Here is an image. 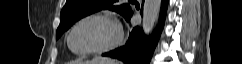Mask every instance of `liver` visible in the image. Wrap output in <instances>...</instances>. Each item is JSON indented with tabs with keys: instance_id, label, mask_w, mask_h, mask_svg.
Listing matches in <instances>:
<instances>
[{
	"instance_id": "liver-1",
	"label": "liver",
	"mask_w": 242,
	"mask_h": 64,
	"mask_svg": "<svg viewBox=\"0 0 242 64\" xmlns=\"http://www.w3.org/2000/svg\"><path fill=\"white\" fill-rule=\"evenodd\" d=\"M92 63H96V62H101V63H107V64H115L116 62L114 60L111 59H107V58H95L91 61Z\"/></svg>"
}]
</instances>
